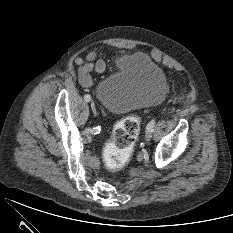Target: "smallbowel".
<instances>
[{
    "instance_id": "small-bowel-1",
    "label": "small bowel",
    "mask_w": 233,
    "mask_h": 233,
    "mask_svg": "<svg viewBox=\"0 0 233 233\" xmlns=\"http://www.w3.org/2000/svg\"><path fill=\"white\" fill-rule=\"evenodd\" d=\"M96 57L97 53L92 51L88 53L85 59L80 57L75 59V64L78 66L79 81L85 87L92 85V72L101 74L106 69L105 62L102 59H96Z\"/></svg>"
}]
</instances>
